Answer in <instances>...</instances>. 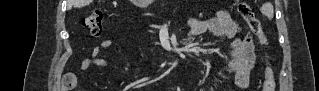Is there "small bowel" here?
I'll return each mask as SVG.
<instances>
[{"mask_svg":"<svg viewBox=\"0 0 319 91\" xmlns=\"http://www.w3.org/2000/svg\"><path fill=\"white\" fill-rule=\"evenodd\" d=\"M187 25L192 36L210 32L216 37L229 40V46L223 53L224 63L218 75L234 74L236 85L241 90H246L249 87L250 74L257 59L252 34L249 31H243L233 18L224 11L217 12L207 20L190 18ZM113 44L112 39H102L99 46L92 49L90 56L82 61L80 69L87 70L93 66H106L108 61L101 57V50L109 49ZM74 83L72 81L71 85H74Z\"/></svg>","mask_w":319,"mask_h":91,"instance_id":"small-bowel-1","label":"small bowel"}]
</instances>
